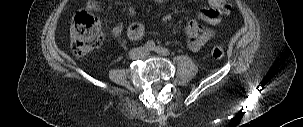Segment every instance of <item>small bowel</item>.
<instances>
[{
    "label": "small bowel",
    "mask_w": 303,
    "mask_h": 127,
    "mask_svg": "<svg viewBox=\"0 0 303 127\" xmlns=\"http://www.w3.org/2000/svg\"><path fill=\"white\" fill-rule=\"evenodd\" d=\"M156 3L161 4L165 0H154ZM87 10L91 12H99L102 8L99 0H89L86 5ZM229 13V8L224 3V0H208V6L204 7L199 17L206 23L216 26L220 23L221 18ZM124 31L121 23H117L112 27L111 33L113 36L118 37ZM186 35L188 36V47L191 51H199L213 36L214 31L209 28H202L197 21L191 20L187 23L185 28ZM144 35V25L137 21L132 23L128 30L127 36L132 41L140 40Z\"/></svg>",
    "instance_id": "1"
}]
</instances>
